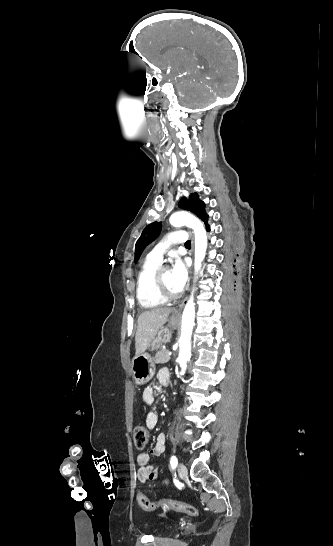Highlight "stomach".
<instances>
[{"mask_svg": "<svg viewBox=\"0 0 333 546\" xmlns=\"http://www.w3.org/2000/svg\"><path fill=\"white\" fill-rule=\"evenodd\" d=\"M177 323L178 321L176 319L171 318L167 327H161L156 337L150 343L149 349L156 350L163 343L169 342L172 337L171 329H173L177 325ZM131 371L136 384H146L154 376L155 363L152 360L151 356L148 353L144 352L134 356V358L132 359Z\"/></svg>", "mask_w": 333, "mask_h": 546, "instance_id": "1", "label": "stomach"}]
</instances>
